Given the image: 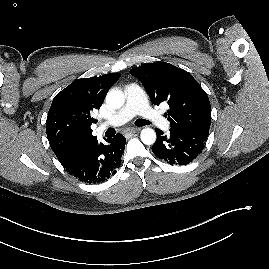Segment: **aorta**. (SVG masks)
<instances>
[{"mask_svg": "<svg viewBox=\"0 0 269 269\" xmlns=\"http://www.w3.org/2000/svg\"><path fill=\"white\" fill-rule=\"evenodd\" d=\"M124 102V93L118 89H112L106 95V103L114 109L121 108ZM140 138L145 145H152L156 141V133L152 128H144L141 131Z\"/></svg>", "mask_w": 269, "mask_h": 269, "instance_id": "aorta-1", "label": "aorta"}]
</instances>
